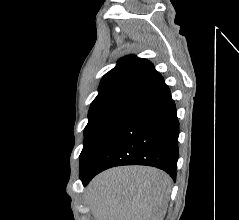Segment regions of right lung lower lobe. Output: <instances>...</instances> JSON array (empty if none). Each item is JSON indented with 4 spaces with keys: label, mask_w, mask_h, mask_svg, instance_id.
Wrapping results in <instances>:
<instances>
[{
    "label": "right lung lower lobe",
    "mask_w": 239,
    "mask_h": 220,
    "mask_svg": "<svg viewBox=\"0 0 239 220\" xmlns=\"http://www.w3.org/2000/svg\"><path fill=\"white\" fill-rule=\"evenodd\" d=\"M179 124L167 85L149 91L130 108L123 122L81 180L88 182L99 172L119 165H148L176 179Z\"/></svg>",
    "instance_id": "1"
}]
</instances>
